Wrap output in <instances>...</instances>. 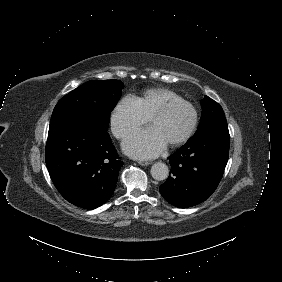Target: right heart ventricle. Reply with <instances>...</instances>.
<instances>
[{
  "instance_id": "e07e8e85",
  "label": "right heart ventricle",
  "mask_w": 282,
  "mask_h": 282,
  "mask_svg": "<svg viewBox=\"0 0 282 282\" xmlns=\"http://www.w3.org/2000/svg\"><path fill=\"white\" fill-rule=\"evenodd\" d=\"M166 98L171 100H181L178 95L165 88L149 89L141 96L135 97V100L142 112L149 118Z\"/></svg>"
}]
</instances>
